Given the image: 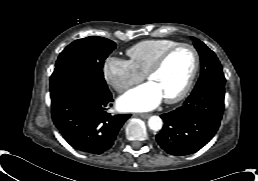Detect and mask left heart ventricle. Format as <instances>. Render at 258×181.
<instances>
[{
	"label": "left heart ventricle",
	"instance_id": "left-heart-ventricle-1",
	"mask_svg": "<svg viewBox=\"0 0 258 181\" xmlns=\"http://www.w3.org/2000/svg\"><path fill=\"white\" fill-rule=\"evenodd\" d=\"M194 65V55L189 48L174 52L162 69L149 81L156 85L163 98L176 96L186 85Z\"/></svg>",
	"mask_w": 258,
	"mask_h": 181
}]
</instances>
